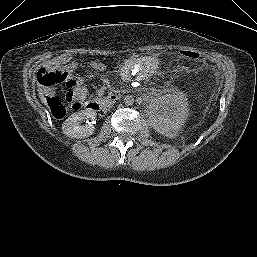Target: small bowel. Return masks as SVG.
I'll return each mask as SVG.
<instances>
[{
  "mask_svg": "<svg viewBox=\"0 0 257 257\" xmlns=\"http://www.w3.org/2000/svg\"><path fill=\"white\" fill-rule=\"evenodd\" d=\"M50 67H61L60 69L65 74V77H66L65 82L68 86L76 84V83L79 82L78 78L74 74V71H75V68H76V63L75 62H70L66 65H61V62L55 61V62L50 64ZM97 69L103 71V70L106 69V65L104 63H99L97 65ZM42 92L44 93L43 89H42Z\"/></svg>",
  "mask_w": 257,
  "mask_h": 257,
  "instance_id": "small-bowel-1",
  "label": "small bowel"
}]
</instances>
